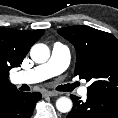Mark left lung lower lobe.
Returning a JSON list of instances; mask_svg holds the SVG:
<instances>
[{"label":"left lung lower lobe","instance_id":"1","mask_svg":"<svg viewBox=\"0 0 118 118\" xmlns=\"http://www.w3.org/2000/svg\"><path fill=\"white\" fill-rule=\"evenodd\" d=\"M73 108L66 118H117L118 99L87 93L86 101L70 95Z\"/></svg>","mask_w":118,"mask_h":118}]
</instances>
